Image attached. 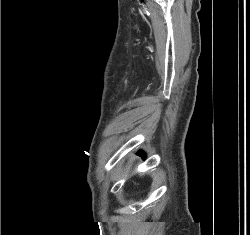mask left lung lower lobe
<instances>
[{
  "instance_id": "obj_1",
  "label": "left lung lower lobe",
  "mask_w": 250,
  "mask_h": 235,
  "mask_svg": "<svg viewBox=\"0 0 250 235\" xmlns=\"http://www.w3.org/2000/svg\"><path fill=\"white\" fill-rule=\"evenodd\" d=\"M138 154H139V155H141V156H142V158H145V154H144V153L139 152Z\"/></svg>"
}]
</instances>
